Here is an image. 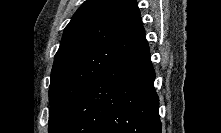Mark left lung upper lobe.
I'll return each mask as SVG.
<instances>
[{
    "label": "left lung upper lobe",
    "mask_w": 221,
    "mask_h": 133,
    "mask_svg": "<svg viewBox=\"0 0 221 133\" xmlns=\"http://www.w3.org/2000/svg\"><path fill=\"white\" fill-rule=\"evenodd\" d=\"M145 38L135 0H87L66 26L49 87L55 133L91 82Z\"/></svg>",
    "instance_id": "obj_1"
}]
</instances>
